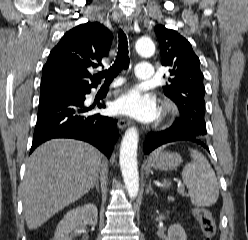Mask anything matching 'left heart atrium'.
Returning a JSON list of instances; mask_svg holds the SVG:
<instances>
[{
  "label": "left heart atrium",
  "instance_id": "39dd6f15",
  "mask_svg": "<svg viewBox=\"0 0 248 240\" xmlns=\"http://www.w3.org/2000/svg\"><path fill=\"white\" fill-rule=\"evenodd\" d=\"M115 108L121 114L142 121H153L159 115L155 97L139 88L129 89L121 95L115 102Z\"/></svg>",
  "mask_w": 248,
  "mask_h": 240
}]
</instances>
